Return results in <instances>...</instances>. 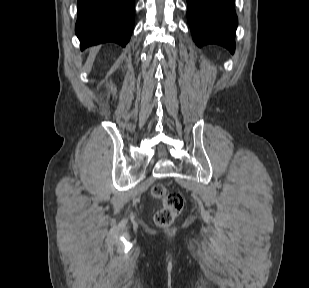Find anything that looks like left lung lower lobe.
Returning <instances> with one entry per match:
<instances>
[{"mask_svg": "<svg viewBox=\"0 0 309 288\" xmlns=\"http://www.w3.org/2000/svg\"><path fill=\"white\" fill-rule=\"evenodd\" d=\"M187 18L197 46L218 44L235 51L234 0H187Z\"/></svg>", "mask_w": 309, "mask_h": 288, "instance_id": "left-lung-lower-lobe-1", "label": "left lung lower lobe"}]
</instances>
